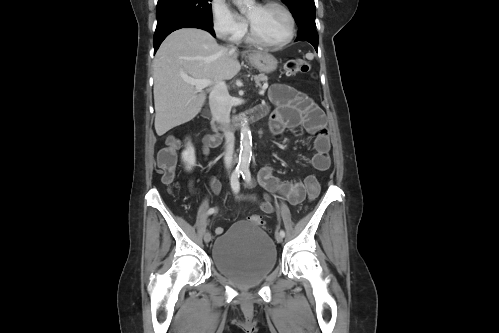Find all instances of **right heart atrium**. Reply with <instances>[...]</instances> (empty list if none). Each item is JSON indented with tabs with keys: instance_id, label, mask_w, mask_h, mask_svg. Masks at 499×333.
<instances>
[{
	"instance_id": "obj_1",
	"label": "right heart atrium",
	"mask_w": 499,
	"mask_h": 333,
	"mask_svg": "<svg viewBox=\"0 0 499 333\" xmlns=\"http://www.w3.org/2000/svg\"><path fill=\"white\" fill-rule=\"evenodd\" d=\"M211 19L219 38L238 41L244 35L245 24L230 10L224 0H212Z\"/></svg>"
}]
</instances>
